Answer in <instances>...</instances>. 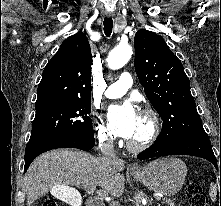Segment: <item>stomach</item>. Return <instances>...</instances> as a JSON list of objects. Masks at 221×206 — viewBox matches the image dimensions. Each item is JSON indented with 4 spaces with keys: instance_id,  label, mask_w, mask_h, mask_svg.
<instances>
[{
    "instance_id": "obj_1",
    "label": "stomach",
    "mask_w": 221,
    "mask_h": 206,
    "mask_svg": "<svg viewBox=\"0 0 221 206\" xmlns=\"http://www.w3.org/2000/svg\"><path fill=\"white\" fill-rule=\"evenodd\" d=\"M132 175L154 192L173 195L183 186L187 167L178 158L156 159Z\"/></svg>"
}]
</instances>
